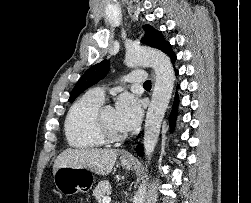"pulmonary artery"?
Returning a JSON list of instances; mask_svg holds the SVG:
<instances>
[{
  "instance_id": "1",
  "label": "pulmonary artery",
  "mask_w": 251,
  "mask_h": 203,
  "mask_svg": "<svg viewBox=\"0 0 251 203\" xmlns=\"http://www.w3.org/2000/svg\"><path fill=\"white\" fill-rule=\"evenodd\" d=\"M147 79V75L145 72L142 71H134L129 73L126 77L125 80L130 82V83H143L145 82ZM89 93L100 99V100H104L105 97V89L102 87H95L89 90Z\"/></svg>"
}]
</instances>
